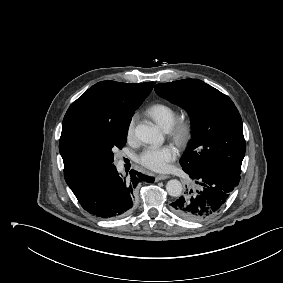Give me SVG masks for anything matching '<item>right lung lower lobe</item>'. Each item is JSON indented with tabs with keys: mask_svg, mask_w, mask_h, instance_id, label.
<instances>
[{
	"mask_svg": "<svg viewBox=\"0 0 283 283\" xmlns=\"http://www.w3.org/2000/svg\"><path fill=\"white\" fill-rule=\"evenodd\" d=\"M141 181L154 178L130 171L121 177L114 165L71 188L81 206L100 218H118L128 214L134 203V190Z\"/></svg>",
	"mask_w": 283,
	"mask_h": 283,
	"instance_id": "98d812e1",
	"label": "right lung lower lobe"
}]
</instances>
